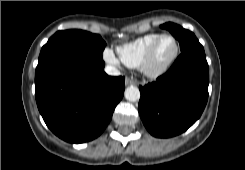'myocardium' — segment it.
<instances>
[{
  "label": "myocardium",
  "mask_w": 245,
  "mask_h": 170,
  "mask_svg": "<svg viewBox=\"0 0 245 170\" xmlns=\"http://www.w3.org/2000/svg\"><path fill=\"white\" fill-rule=\"evenodd\" d=\"M164 38L171 39V41L173 43V51H172L171 55L163 63H161L159 65H154L153 59H154L155 52L157 50L159 43ZM178 52H179L178 43H177V40L175 39V37L173 35H171V34L159 35L152 42V44L149 46V48L145 52V54H144V56L140 62L139 69L142 72V74L148 78L154 79V78L161 77L171 68V66L173 65V63L177 59Z\"/></svg>",
  "instance_id": "obj_1"
}]
</instances>
